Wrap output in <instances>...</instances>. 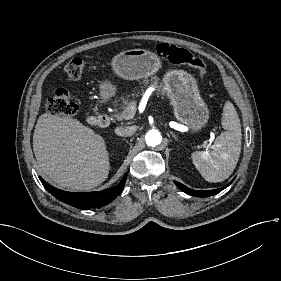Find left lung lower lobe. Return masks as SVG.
Here are the masks:
<instances>
[{
	"label": "left lung lower lobe",
	"mask_w": 281,
	"mask_h": 281,
	"mask_svg": "<svg viewBox=\"0 0 281 281\" xmlns=\"http://www.w3.org/2000/svg\"><path fill=\"white\" fill-rule=\"evenodd\" d=\"M233 180L221 189L207 190V191L193 190L176 181H175V184L179 189H181L182 191H184L185 193H187L189 195L196 196V197H209V196L218 194L222 189H225L226 187H228L233 182Z\"/></svg>",
	"instance_id": "1"
}]
</instances>
